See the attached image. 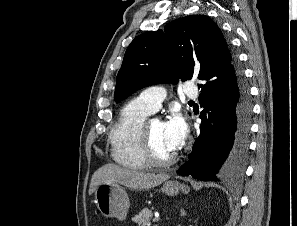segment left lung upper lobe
<instances>
[{
	"label": "left lung upper lobe",
	"instance_id": "1",
	"mask_svg": "<svg viewBox=\"0 0 297 226\" xmlns=\"http://www.w3.org/2000/svg\"><path fill=\"white\" fill-rule=\"evenodd\" d=\"M235 60L208 16L174 20L164 30L137 36L128 46L116 78L115 102L156 83L176 84L193 76L203 84L228 78L236 74Z\"/></svg>",
	"mask_w": 297,
	"mask_h": 226
}]
</instances>
